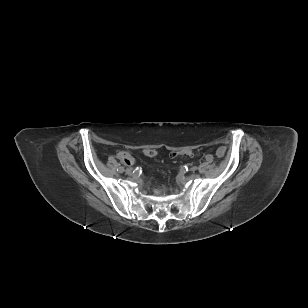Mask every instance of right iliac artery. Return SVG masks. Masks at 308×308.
<instances>
[{
	"mask_svg": "<svg viewBox=\"0 0 308 308\" xmlns=\"http://www.w3.org/2000/svg\"><path fill=\"white\" fill-rule=\"evenodd\" d=\"M117 171L120 172V173H123V172H124V167H122V166L119 164V167L117 168Z\"/></svg>",
	"mask_w": 308,
	"mask_h": 308,
	"instance_id": "obj_1",
	"label": "right iliac artery"
}]
</instances>
